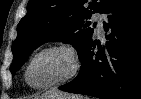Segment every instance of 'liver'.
<instances>
[{"label":"liver","instance_id":"liver-1","mask_svg":"<svg viewBox=\"0 0 141 99\" xmlns=\"http://www.w3.org/2000/svg\"><path fill=\"white\" fill-rule=\"evenodd\" d=\"M45 95H50L51 99H76L71 94H67V93H63V92L55 91V90L49 91Z\"/></svg>","mask_w":141,"mask_h":99}]
</instances>
